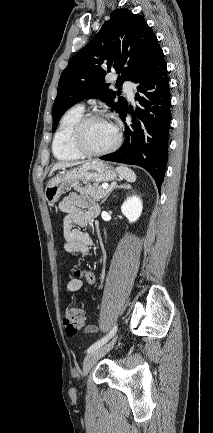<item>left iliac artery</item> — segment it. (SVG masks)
Wrapping results in <instances>:
<instances>
[{"mask_svg": "<svg viewBox=\"0 0 213 433\" xmlns=\"http://www.w3.org/2000/svg\"><path fill=\"white\" fill-rule=\"evenodd\" d=\"M116 331H117V325H114L112 330L106 336H104L103 338H101L100 340L92 344L87 349V353H90L96 350L97 348L101 347L103 344H105L116 333Z\"/></svg>", "mask_w": 213, "mask_h": 433, "instance_id": "1", "label": "left iliac artery"}]
</instances>
